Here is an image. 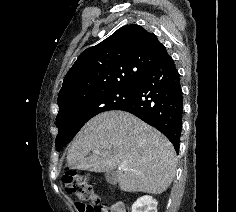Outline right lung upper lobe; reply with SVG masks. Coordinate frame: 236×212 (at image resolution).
Wrapping results in <instances>:
<instances>
[{
  "mask_svg": "<svg viewBox=\"0 0 236 212\" xmlns=\"http://www.w3.org/2000/svg\"><path fill=\"white\" fill-rule=\"evenodd\" d=\"M166 52L156 35L142 26H123L80 54L64 78L58 106L62 108L93 94L138 85Z\"/></svg>",
  "mask_w": 236,
  "mask_h": 212,
  "instance_id": "right-lung-upper-lobe-1",
  "label": "right lung upper lobe"
}]
</instances>
